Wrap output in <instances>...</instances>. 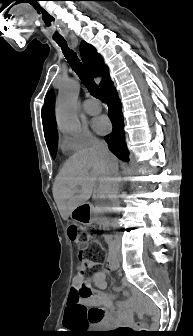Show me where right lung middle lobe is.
<instances>
[{
    "mask_svg": "<svg viewBox=\"0 0 193 336\" xmlns=\"http://www.w3.org/2000/svg\"><path fill=\"white\" fill-rule=\"evenodd\" d=\"M57 141H58V137H55L52 140H50L49 142H47L48 149H49L53 158L56 156Z\"/></svg>",
    "mask_w": 193,
    "mask_h": 336,
    "instance_id": "1",
    "label": "right lung middle lobe"
}]
</instances>
